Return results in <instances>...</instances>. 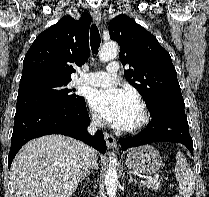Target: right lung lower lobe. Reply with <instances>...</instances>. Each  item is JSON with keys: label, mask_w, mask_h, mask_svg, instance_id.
<instances>
[{"label": "right lung lower lobe", "mask_w": 209, "mask_h": 197, "mask_svg": "<svg viewBox=\"0 0 209 197\" xmlns=\"http://www.w3.org/2000/svg\"><path fill=\"white\" fill-rule=\"evenodd\" d=\"M89 124L90 118L84 99L75 103L44 104L16 111L8 156L9 168L26 142L47 134L70 136L105 153L106 143L102 132L97 131L95 137H91L87 132Z\"/></svg>", "instance_id": "right-lung-lower-lobe-1"}]
</instances>
